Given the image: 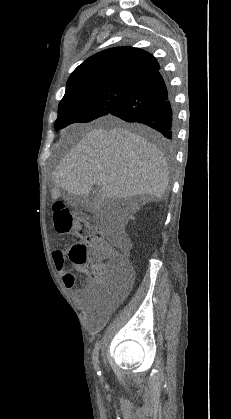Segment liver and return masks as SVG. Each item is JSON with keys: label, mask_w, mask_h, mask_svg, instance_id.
<instances>
[{"label": "liver", "mask_w": 231, "mask_h": 419, "mask_svg": "<svg viewBox=\"0 0 231 419\" xmlns=\"http://www.w3.org/2000/svg\"><path fill=\"white\" fill-rule=\"evenodd\" d=\"M90 130L67 154L52 175L56 200L64 190L88 195L95 184L102 199L150 195L162 199L168 188V168L158 147L121 126Z\"/></svg>", "instance_id": "obj_1"}]
</instances>
